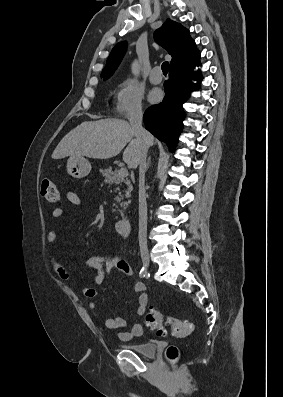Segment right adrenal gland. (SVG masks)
Wrapping results in <instances>:
<instances>
[{
    "instance_id": "1",
    "label": "right adrenal gland",
    "mask_w": 283,
    "mask_h": 397,
    "mask_svg": "<svg viewBox=\"0 0 283 397\" xmlns=\"http://www.w3.org/2000/svg\"><path fill=\"white\" fill-rule=\"evenodd\" d=\"M150 160H151V158L149 157V158H148V162H147V168H149Z\"/></svg>"
}]
</instances>
